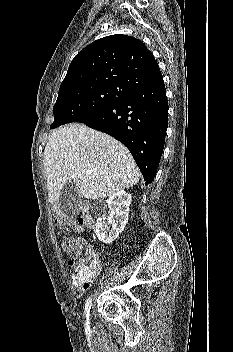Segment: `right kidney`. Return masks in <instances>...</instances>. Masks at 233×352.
<instances>
[{
    "label": "right kidney",
    "instance_id": "1",
    "mask_svg": "<svg viewBox=\"0 0 233 352\" xmlns=\"http://www.w3.org/2000/svg\"><path fill=\"white\" fill-rule=\"evenodd\" d=\"M131 200V195L123 190L109 197L107 200L108 211L97 218L96 222L95 233L101 242L112 243L124 230L129 217Z\"/></svg>",
    "mask_w": 233,
    "mask_h": 352
}]
</instances>
